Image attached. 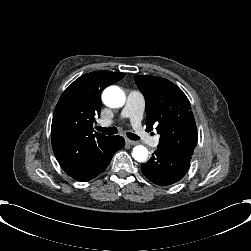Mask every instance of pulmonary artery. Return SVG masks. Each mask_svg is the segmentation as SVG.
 <instances>
[{
    "mask_svg": "<svg viewBox=\"0 0 251 251\" xmlns=\"http://www.w3.org/2000/svg\"><path fill=\"white\" fill-rule=\"evenodd\" d=\"M145 111V100L137 92L131 91L126 97L124 107L121 111V118H128L131 122L132 127L135 131L140 134V141L143 144L156 146L158 144V139L148 132H144L141 127V122L143 120V115ZM112 123L111 120L100 119L98 124L101 127H107Z\"/></svg>",
    "mask_w": 251,
    "mask_h": 251,
    "instance_id": "pulmonary-artery-1",
    "label": "pulmonary artery"
}]
</instances>
